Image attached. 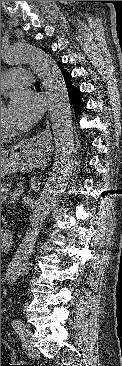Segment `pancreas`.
<instances>
[{"instance_id":"cf45deb5","label":"pancreas","mask_w":122,"mask_h":366,"mask_svg":"<svg viewBox=\"0 0 122 366\" xmlns=\"http://www.w3.org/2000/svg\"><path fill=\"white\" fill-rule=\"evenodd\" d=\"M11 189V184H1V200L5 199L8 195V191Z\"/></svg>"}]
</instances>
